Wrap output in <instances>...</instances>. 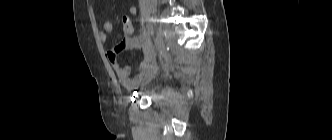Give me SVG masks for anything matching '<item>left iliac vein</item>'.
Returning a JSON list of instances; mask_svg holds the SVG:
<instances>
[{"label": "left iliac vein", "mask_w": 332, "mask_h": 140, "mask_svg": "<svg viewBox=\"0 0 332 140\" xmlns=\"http://www.w3.org/2000/svg\"><path fill=\"white\" fill-rule=\"evenodd\" d=\"M155 44L158 51H162L164 49V41L161 33H157L155 37Z\"/></svg>", "instance_id": "4c4485c4"}]
</instances>
